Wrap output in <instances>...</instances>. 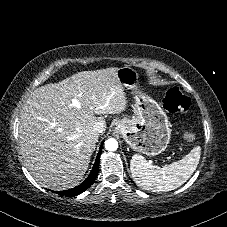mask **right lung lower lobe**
<instances>
[{"mask_svg":"<svg viewBox=\"0 0 227 227\" xmlns=\"http://www.w3.org/2000/svg\"><path fill=\"white\" fill-rule=\"evenodd\" d=\"M103 142L100 145V150H99L97 158L95 160L93 169L91 170V172H90L89 176L86 178V180L83 183H81L79 186L74 187L72 189L65 190V191H57L56 192L57 194L66 195V196L78 195V194L82 193L83 191H85L86 189H88L94 183V181L97 177V174H98L99 159H100V155H101L102 149H103Z\"/></svg>","mask_w":227,"mask_h":227,"instance_id":"right-lung-lower-lobe-1","label":"right lung lower lobe"}]
</instances>
